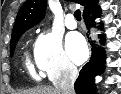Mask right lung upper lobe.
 <instances>
[{
  "label": "right lung upper lobe",
  "instance_id": "cb5924a9",
  "mask_svg": "<svg viewBox=\"0 0 121 94\" xmlns=\"http://www.w3.org/2000/svg\"><path fill=\"white\" fill-rule=\"evenodd\" d=\"M84 6L83 14L97 5V0H71ZM46 0H27L20 8L12 31V37L25 32L39 23L45 16ZM11 37V38H12Z\"/></svg>",
  "mask_w": 121,
  "mask_h": 94
}]
</instances>
